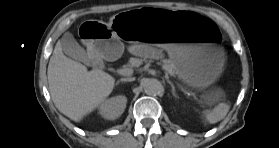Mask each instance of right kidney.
<instances>
[{
    "label": "right kidney",
    "mask_w": 279,
    "mask_h": 148,
    "mask_svg": "<svg viewBox=\"0 0 279 148\" xmlns=\"http://www.w3.org/2000/svg\"><path fill=\"white\" fill-rule=\"evenodd\" d=\"M127 98L119 95L112 97L100 105V115L108 120H115L120 117L126 108Z\"/></svg>",
    "instance_id": "right-kidney-1"
}]
</instances>
